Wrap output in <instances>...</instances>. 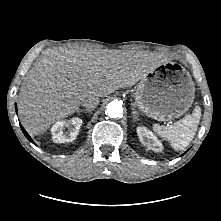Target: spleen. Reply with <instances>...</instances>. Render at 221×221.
<instances>
[{
	"mask_svg": "<svg viewBox=\"0 0 221 221\" xmlns=\"http://www.w3.org/2000/svg\"><path fill=\"white\" fill-rule=\"evenodd\" d=\"M201 116L200 107H196L192 115H186L183 119L171 126L155 124L153 130L164 140H168L175 150L185 149L193 140Z\"/></svg>",
	"mask_w": 221,
	"mask_h": 221,
	"instance_id": "spleen-1",
	"label": "spleen"
}]
</instances>
